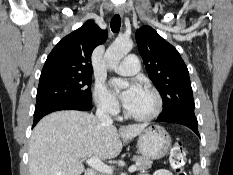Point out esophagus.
Masks as SVG:
<instances>
[{
	"mask_svg": "<svg viewBox=\"0 0 233 175\" xmlns=\"http://www.w3.org/2000/svg\"><path fill=\"white\" fill-rule=\"evenodd\" d=\"M115 14L123 16L124 15L123 9L121 7H116L115 8Z\"/></svg>",
	"mask_w": 233,
	"mask_h": 175,
	"instance_id": "esophagus-1",
	"label": "esophagus"
}]
</instances>
